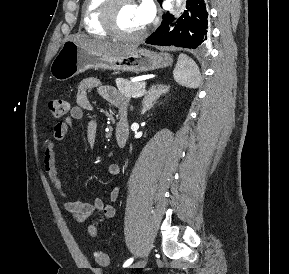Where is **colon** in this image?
Listing matches in <instances>:
<instances>
[{
	"label": "colon",
	"mask_w": 289,
	"mask_h": 274,
	"mask_svg": "<svg viewBox=\"0 0 289 274\" xmlns=\"http://www.w3.org/2000/svg\"><path fill=\"white\" fill-rule=\"evenodd\" d=\"M48 108L54 117L61 118L67 114L69 103L65 99H51L48 102ZM94 259L100 266H107L109 264L108 255L101 250L94 252Z\"/></svg>",
	"instance_id": "5ec220e1"
}]
</instances>
